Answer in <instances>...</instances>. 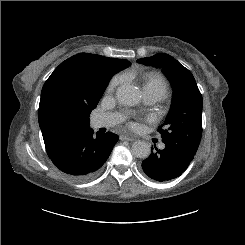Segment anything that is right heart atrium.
I'll return each instance as SVG.
<instances>
[{
    "label": "right heart atrium",
    "mask_w": 245,
    "mask_h": 245,
    "mask_svg": "<svg viewBox=\"0 0 245 245\" xmlns=\"http://www.w3.org/2000/svg\"><path fill=\"white\" fill-rule=\"evenodd\" d=\"M123 80V77L117 75L113 77L108 85V91H113Z\"/></svg>",
    "instance_id": "d8ad5b80"
}]
</instances>
